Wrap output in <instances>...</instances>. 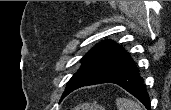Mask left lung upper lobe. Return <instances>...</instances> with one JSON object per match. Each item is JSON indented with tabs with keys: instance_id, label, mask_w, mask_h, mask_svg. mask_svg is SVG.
Masks as SVG:
<instances>
[{
	"instance_id": "5c2ea615",
	"label": "left lung upper lobe",
	"mask_w": 171,
	"mask_h": 110,
	"mask_svg": "<svg viewBox=\"0 0 171 110\" xmlns=\"http://www.w3.org/2000/svg\"><path fill=\"white\" fill-rule=\"evenodd\" d=\"M129 58L130 55L118 44L110 40L102 41L82 58L81 67L67 83L62 98L75 87L92 81Z\"/></svg>"
}]
</instances>
